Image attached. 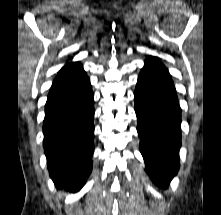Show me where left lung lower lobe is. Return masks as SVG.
I'll list each match as a JSON object with an SVG mask.
<instances>
[{
  "label": "left lung lower lobe",
  "instance_id": "1",
  "mask_svg": "<svg viewBox=\"0 0 221 215\" xmlns=\"http://www.w3.org/2000/svg\"><path fill=\"white\" fill-rule=\"evenodd\" d=\"M134 99L146 172L157 186L167 189L180 166L181 109L170 74L159 58L145 60Z\"/></svg>",
  "mask_w": 221,
  "mask_h": 215
}]
</instances>
